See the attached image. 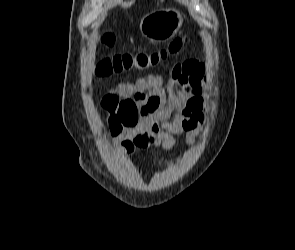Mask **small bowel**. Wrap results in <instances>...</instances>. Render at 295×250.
<instances>
[{"instance_id":"c3829d8e","label":"small bowel","mask_w":295,"mask_h":250,"mask_svg":"<svg viewBox=\"0 0 295 250\" xmlns=\"http://www.w3.org/2000/svg\"><path fill=\"white\" fill-rule=\"evenodd\" d=\"M169 76L165 87L162 75L149 74L111 89L109 95L131 98L143 110L138 125L115 138L118 151L131 153L152 145L171 150L175 136L182 133L188 144L195 142L205 121L206 67L194 59L176 62L170 66Z\"/></svg>"}]
</instances>
